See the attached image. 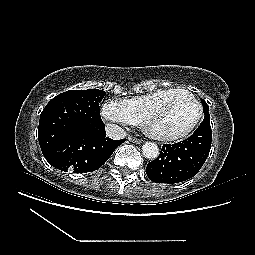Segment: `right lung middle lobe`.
Segmentation results:
<instances>
[{
	"instance_id": "right-lung-middle-lobe-1",
	"label": "right lung middle lobe",
	"mask_w": 255,
	"mask_h": 255,
	"mask_svg": "<svg viewBox=\"0 0 255 255\" xmlns=\"http://www.w3.org/2000/svg\"><path fill=\"white\" fill-rule=\"evenodd\" d=\"M106 92L69 90L50 100L40 115L38 139L42 152L72 129H95L102 123L99 103Z\"/></svg>"
}]
</instances>
